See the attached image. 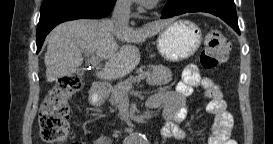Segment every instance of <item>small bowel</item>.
<instances>
[{"instance_id": "small-bowel-1", "label": "small bowel", "mask_w": 273, "mask_h": 144, "mask_svg": "<svg viewBox=\"0 0 273 144\" xmlns=\"http://www.w3.org/2000/svg\"><path fill=\"white\" fill-rule=\"evenodd\" d=\"M196 88L204 91L208 100L206 110L214 117L208 144H234L230 139L233 119L226 109V102L220 86L211 78L201 75L194 66L187 67L183 71L182 79L177 84L176 90L163 94L167 100L166 106L163 107V117L166 120V125L162 129L163 142L168 139H190L179 125L187 117L186 103ZM147 107L151 110L158 108L149 100ZM93 143L111 144L112 139L108 136L100 135Z\"/></svg>"}]
</instances>
